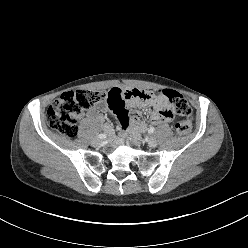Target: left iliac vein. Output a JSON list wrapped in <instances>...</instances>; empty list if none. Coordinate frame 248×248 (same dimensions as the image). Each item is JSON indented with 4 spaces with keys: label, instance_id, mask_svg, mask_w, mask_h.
I'll return each mask as SVG.
<instances>
[{
    "label": "left iliac vein",
    "instance_id": "obj_1",
    "mask_svg": "<svg viewBox=\"0 0 248 248\" xmlns=\"http://www.w3.org/2000/svg\"><path fill=\"white\" fill-rule=\"evenodd\" d=\"M148 146L154 148L157 146V140L154 137L148 139Z\"/></svg>",
    "mask_w": 248,
    "mask_h": 248
}]
</instances>
